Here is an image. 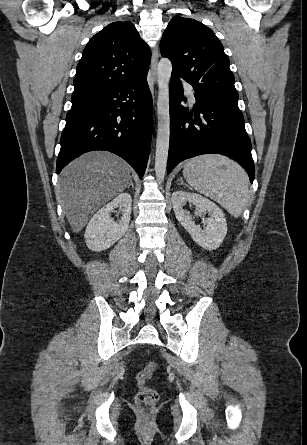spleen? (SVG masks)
<instances>
[{
	"mask_svg": "<svg viewBox=\"0 0 307 445\" xmlns=\"http://www.w3.org/2000/svg\"><path fill=\"white\" fill-rule=\"evenodd\" d=\"M183 176L192 188L219 202L235 218L250 200L244 168L222 154L190 158L184 164Z\"/></svg>",
	"mask_w": 307,
	"mask_h": 445,
	"instance_id": "3e777b00",
	"label": "spleen"
}]
</instances>
